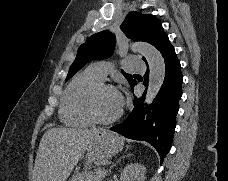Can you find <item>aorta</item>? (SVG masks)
I'll return each instance as SVG.
<instances>
[{
	"instance_id": "762f6f07",
	"label": "aorta",
	"mask_w": 228,
	"mask_h": 181,
	"mask_svg": "<svg viewBox=\"0 0 228 181\" xmlns=\"http://www.w3.org/2000/svg\"><path fill=\"white\" fill-rule=\"evenodd\" d=\"M131 49L143 55L149 65V83L146 103H151L162 87L165 79V62L161 53L152 45L144 42L133 43Z\"/></svg>"
}]
</instances>
